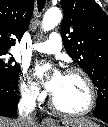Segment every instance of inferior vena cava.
Instances as JSON below:
<instances>
[{"instance_id":"602c4592","label":"inferior vena cava","mask_w":108,"mask_h":127,"mask_svg":"<svg viewBox=\"0 0 108 127\" xmlns=\"http://www.w3.org/2000/svg\"><path fill=\"white\" fill-rule=\"evenodd\" d=\"M36 107V92L27 90L21 96L18 104V120L21 127H31L36 122V117L33 114Z\"/></svg>"}]
</instances>
